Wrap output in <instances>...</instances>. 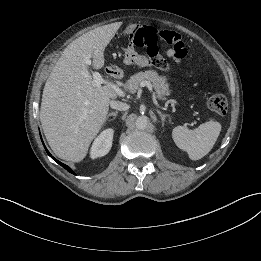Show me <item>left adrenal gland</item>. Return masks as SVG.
I'll return each mask as SVG.
<instances>
[{
	"label": "left adrenal gland",
	"mask_w": 261,
	"mask_h": 261,
	"mask_svg": "<svg viewBox=\"0 0 261 261\" xmlns=\"http://www.w3.org/2000/svg\"><path fill=\"white\" fill-rule=\"evenodd\" d=\"M157 111V113L160 115V117H161V121H162V126H164V122H165V120H166V118H168L169 120H171V118L169 117V115H167V114H163L160 110H156Z\"/></svg>",
	"instance_id": "1"
}]
</instances>
